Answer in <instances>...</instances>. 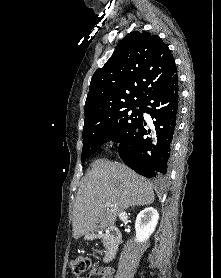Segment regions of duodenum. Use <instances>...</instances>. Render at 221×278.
<instances>
[{
  "mask_svg": "<svg viewBox=\"0 0 221 278\" xmlns=\"http://www.w3.org/2000/svg\"><path fill=\"white\" fill-rule=\"evenodd\" d=\"M96 237H101L108 241V248L104 255V261H112L117 253L120 244L121 235L119 230L115 227H107L100 231V233L97 234Z\"/></svg>",
  "mask_w": 221,
  "mask_h": 278,
  "instance_id": "duodenum-1",
  "label": "duodenum"
}]
</instances>
